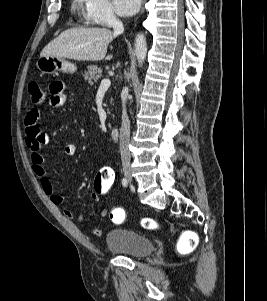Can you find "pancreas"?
<instances>
[{"mask_svg":"<svg viewBox=\"0 0 267 301\" xmlns=\"http://www.w3.org/2000/svg\"><path fill=\"white\" fill-rule=\"evenodd\" d=\"M102 76V70L96 65H91L87 68V71L84 72L83 77L88 80L89 84L96 83L99 78Z\"/></svg>","mask_w":267,"mask_h":301,"instance_id":"cf45deb5","label":"pancreas"}]
</instances>
